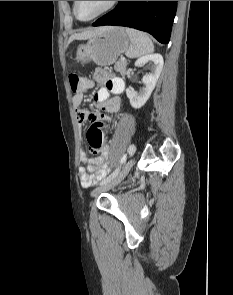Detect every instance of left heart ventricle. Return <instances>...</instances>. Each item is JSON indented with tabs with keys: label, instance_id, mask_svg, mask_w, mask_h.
Wrapping results in <instances>:
<instances>
[{
	"label": "left heart ventricle",
	"instance_id": "b2bd125f",
	"mask_svg": "<svg viewBox=\"0 0 233 295\" xmlns=\"http://www.w3.org/2000/svg\"><path fill=\"white\" fill-rule=\"evenodd\" d=\"M110 1H78L77 13L80 18L88 19L102 9H104Z\"/></svg>",
	"mask_w": 233,
	"mask_h": 295
}]
</instances>
